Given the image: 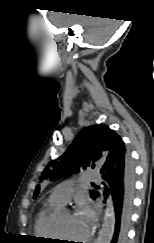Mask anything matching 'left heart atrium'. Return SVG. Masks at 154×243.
Listing matches in <instances>:
<instances>
[{"mask_svg":"<svg viewBox=\"0 0 154 243\" xmlns=\"http://www.w3.org/2000/svg\"><path fill=\"white\" fill-rule=\"evenodd\" d=\"M73 218L77 223L81 224L87 234L92 231L96 221L95 213L87 204H81Z\"/></svg>","mask_w":154,"mask_h":243,"instance_id":"1","label":"left heart atrium"}]
</instances>
